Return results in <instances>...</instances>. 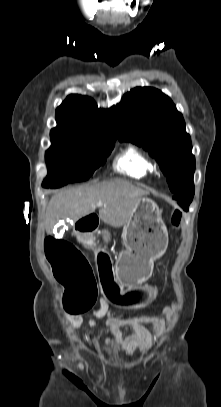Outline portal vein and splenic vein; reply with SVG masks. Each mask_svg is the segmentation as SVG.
<instances>
[{
	"label": "portal vein and splenic vein",
	"mask_w": 221,
	"mask_h": 407,
	"mask_svg": "<svg viewBox=\"0 0 221 407\" xmlns=\"http://www.w3.org/2000/svg\"><path fill=\"white\" fill-rule=\"evenodd\" d=\"M97 206H99V207H100V206H103V203H102V202H98V203H97Z\"/></svg>",
	"instance_id": "obj_1"
}]
</instances>
